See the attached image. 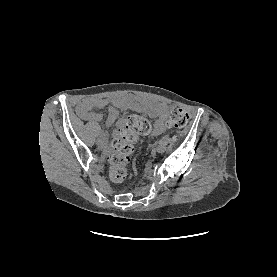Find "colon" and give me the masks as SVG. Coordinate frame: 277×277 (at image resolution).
<instances>
[{
  "mask_svg": "<svg viewBox=\"0 0 277 277\" xmlns=\"http://www.w3.org/2000/svg\"><path fill=\"white\" fill-rule=\"evenodd\" d=\"M188 113L181 108H175L169 115L166 126L180 129L188 123ZM152 127L148 119L139 115L126 118L124 127L112 141L109 157V174L113 182L121 183L128 175V166L140 135L150 133Z\"/></svg>",
  "mask_w": 277,
  "mask_h": 277,
  "instance_id": "colon-1",
  "label": "colon"
}]
</instances>
